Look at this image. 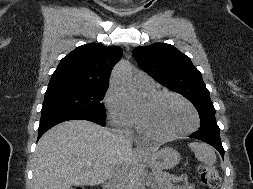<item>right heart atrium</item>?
<instances>
[{
    "label": "right heart atrium",
    "instance_id": "right-heart-atrium-1",
    "mask_svg": "<svg viewBox=\"0 0 253 189\" xmlns=\"http://www.w3.org/2000/svg\"><path fill=\"white\" fill-rule=\"evenodd\" d=\"M104 104L107 116L114 127L124 131L133 127L136 117L117 91L109 89L104 97Z\"/></svg>",
    "mask_w": 253,
    "mask_h": 189
}]
</instances>
